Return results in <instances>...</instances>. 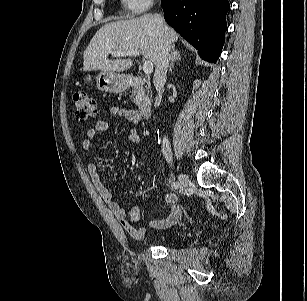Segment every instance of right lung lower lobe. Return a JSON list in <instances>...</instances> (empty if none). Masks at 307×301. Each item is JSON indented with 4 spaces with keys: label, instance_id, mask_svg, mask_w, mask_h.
<instances>
[{
    "label": "right lung lower lobe",
    "instance_id": "1",
    "mask_svg": "<svg viewBox=\"0 0 307 301\" xmlns=\"http://www.w3.org/2000/svg\"><path fill=\"white\" fill-rule=\"evenodd\" d=\"M164 18L203 60L216 62L227 30L228 0H162Z\"/></svg>",
    "mask_w": 307,
    "mask_h": 301
}]
</instances>
